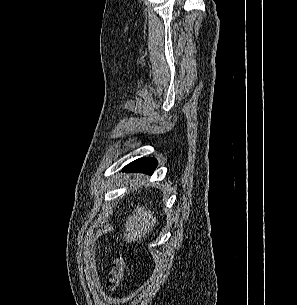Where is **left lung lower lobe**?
<instances>
[{
    "instance_id": "left-lung-lower-lobe-1",
    "label": "left lung lower lobe",
    "mask_w": 297,
    "mask_h": 305,
    "mask_svg": "<svg viewBox=\"0 0 297 305\" xmlns=\"http://www.w3.org/2000/svg\"><path fill=\"white\" fill-rule=\"evenodd\" d=\"M158 162L155 158L144 157L135 160L123 168V172H142L152 174Z\"/></svg>"
}]
</instances>
